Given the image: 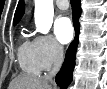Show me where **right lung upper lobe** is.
<instances>
[{
  "instance_id": "1",
  "label": "right lung upper lobe",
  "mask_w": 107,
  "mask_h": 89,
  "mask_svg": "<svg viewBox=\"0 0 107 89\" xmlns=\"http://www.w3.org/2000/svg\"><path fill=\"white\" fill-rule=\"evenodd\" d=\"M24 14V4L22 0H19L15 15H14V24H17Z\"/></svg>"
}]
</instances>
